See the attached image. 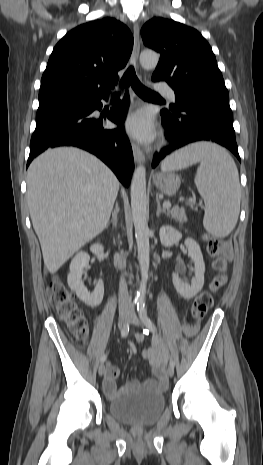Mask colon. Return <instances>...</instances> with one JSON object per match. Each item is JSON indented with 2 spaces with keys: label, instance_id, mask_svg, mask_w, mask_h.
Wrapping results in <instances>:
<instances>
[{
  "label": "colon",
  "instance_id": "5ec220e1",
  "mask_svg": "<svg viewBox=\"0 0 263 465\" xmlns=\"http://www.w3.org/2000/svg\"><path fill=\"white\" fill-rule=\"evenodd\" d=\"M205 243L209 255L213 258V268L217 274L211 281L209 289L198 294L193 302L191 317L195 322H199L204 318L213 305V294L223 287L227 281V261L224 244L222 241L209 236L205 237ZM48 293L52 305L65 322L73 339L77 341L85 340L88 334L87 320L59 278L55 277L50 281ZM191 329H196V327L192 326Z\"/></svg>",
  "mask_w": 263,
  "mask_h": 465
}]
</instances>
